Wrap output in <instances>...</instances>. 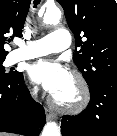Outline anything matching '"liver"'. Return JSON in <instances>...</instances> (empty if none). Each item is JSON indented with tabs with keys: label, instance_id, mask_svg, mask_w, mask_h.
Returning <instances> with one entry per match:
<instances>
[{
	"label": "liver",
	"instance_id": "1",
	"mask_svg": "<svg viewBox=\"0 0 117 136\" xmlns=\"http://www.w3.org/2000/svg\"><path fill=\"white\" fill-rule=\"evenodd\" d=\"M0 136H10V135L5 134V133H0Z\"/></svg>",
	"mask_w": 117,
	"mask_h": 136
}]
</instances>
